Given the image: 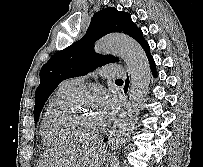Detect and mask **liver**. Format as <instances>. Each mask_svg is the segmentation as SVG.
<instances>
[{
	"label": "liver",
	"instance_id": "1",
	"mask_svg": "<svg viewBox=\"0 0 203 167\" xmlns=\"http://www.w3.org/2000/svg\"><path fill=\"white\" fill-rule=\"evenodd\" d=\"M95 149V146H85L46 152L42 155L37 167H85Z\"/></svg>",
	"mask_w": 203,
	"mask_h": 167
}]
</instances>
